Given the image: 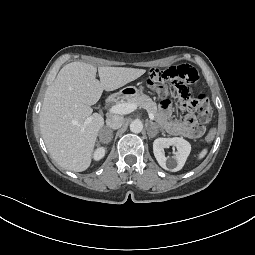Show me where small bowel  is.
Returning a JSON list of instances; mask_svg holds the SVG:
<instances>
[{
	"mask_svg": "<svg viewBox=\"0 0 255 255\" xmlns=\"http://www.w3.org/2000/svg\"><path fill=\"white\" fill-rule=\"evenodd\" d=\"M161 122L164 128L173 135L197 139L204 133V127L199 125L192 113L185 114L181 120H172L168 102L163 103Z\"/></svg>",
	"mask_w": 255,
	"mask_h": 255,
	"instance_id": "obj_1",
	"label": "small bowel"
}]
</instances>
